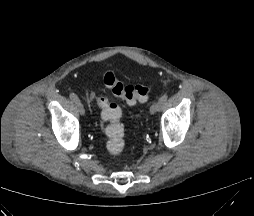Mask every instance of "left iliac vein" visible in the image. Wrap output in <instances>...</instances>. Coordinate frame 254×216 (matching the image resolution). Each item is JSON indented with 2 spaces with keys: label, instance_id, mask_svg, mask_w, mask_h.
I'll return each mask as SVG.
<instances>
[{
  "label": "left iliac vein",
  "instance_id": "1",
  "mask_svg": "<svg viewBox=\"0 0 254 216\" xmlns=\"http://www.w3.org/2000/svg\"><path fill=\"white\" fill-rule=\"evenodd\" d=\"M160 109L159 102H154L150 107V114H155Z\"/></svg>",
  "mask_w": 254,
  "mask_h": 216
}]
</instances>
